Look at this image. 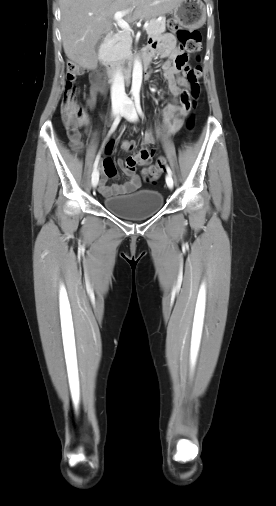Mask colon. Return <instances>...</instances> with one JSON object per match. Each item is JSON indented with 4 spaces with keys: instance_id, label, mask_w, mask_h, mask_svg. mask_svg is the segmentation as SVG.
I'll return each mask as SVG.
<instances>
[{
    "instance_id": "5ec220e1",
    "label": "colon",
    "mask_w": 276,
    "mask_h": 506,
    "mask_svg": "<svg viewBox=\"0 0 276 506\" xmlns=\"http://www.w3.org/2000/svg\"><path fill=\"white\" fill-rule=\"evenodd\" d=\"M168 28L178 37L180 45L190 54L197 53L202 46L201 34L198 31H188L182 29L175 18L168 21ZM81 75V70L73 63H69L67 68V86L61 103L62 120L70 139V146L78 149L82 144V134L80 127L84 124V113L79 107L76 94V80ZM102 78V74L98 73ZM200 77L201 68L196 66L188 69L185 75L180 77V84H187L188 90L181 93L180 101L185 109L193 110L200 96ZM195 125V116L191 114L188 122V130H192ZM125 148H129L123 144ZM154 150L140 151L137 155L129 157L127 165L135 167L141 165L143 160L153 154ZM164 171L163 161L159 160L155 165L144 169L143 179L147 183H156Z\"/></svg>"
}]
</instances>
